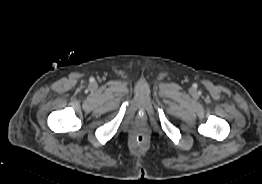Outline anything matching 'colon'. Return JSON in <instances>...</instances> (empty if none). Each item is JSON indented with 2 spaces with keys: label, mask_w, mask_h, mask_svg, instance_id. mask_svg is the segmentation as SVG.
<instances>
[{
  "label": "colon",
  "mask_w": 262,
  "mask_h": 184,
  "mask_svg": "<svg viewBox=\"0 0 262 184\" xmlns=\"http://www.w3.org/2000/svg\"><path fill=\"white\" fill-rule=\"evenodd\" d=\"M136 139H137L138 141L143 142V141H144V136H143L142 134H138V135L136 136Z\"/></svg>",
  "instance_id": "1"
}]
</instances>
